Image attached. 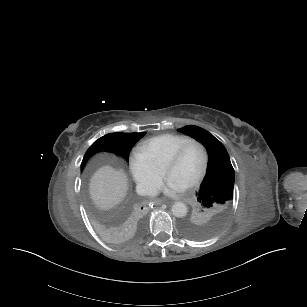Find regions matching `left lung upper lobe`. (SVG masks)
Listing matches in <instances>:
<instances>
[{
	"instance_id": "obj_1",
	"label": "left lung upper lobe",
	"mask_w": 307,
	"mask_h": 307,
	"mask_svg": "<svg viewBox=\"0 0 307 307\" xmlns=\"http://www.w3.org/2000/svg\"><path fill=\"white\" fill-rule=\"evenodd\" d=\"M178 131L192 135L209 153L204 180L196 194L193 214L184 219L180 228L193 239H206L224 225L233 200L235 172L224 145L208 131L188 125Z\"/></svg>"
}]
</instances>
